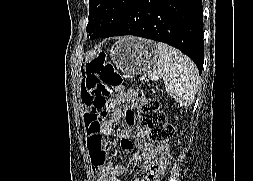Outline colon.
Wrapping results in <instances>:
<instances>
[{"mask_svg":"<svg viewBox=\"0 0 253 181\" xmlns=\"http://www.w3.org/2000/svg\"><path fill=\"white\" fill-rule=\"evenodd\" d=\"M89 59L85 66L87 93L85 102L89 108L90 116L87 117L89 128L91 123L103 122L106 116V106L118 85L121 84V77L111 64L106 63V55L109 50H99V47H90ZM137 116L139 125L148 132L149 138L157 142L162 150L161 157L154 161L145 175L144 181H158L164 173L168 161L169 140L174 135L175 130L167 123L163 111H161L157 100L147 97L143 92H138ZM95 134H100V130H91ZM96 159V157L94 156Z\"/></svg>","mask_w":253,"mask_h":181,"instance_id":"5ec220e1","label":"colon"}]
</instances>
